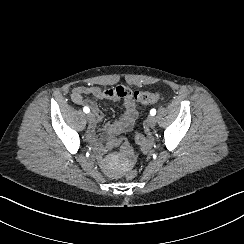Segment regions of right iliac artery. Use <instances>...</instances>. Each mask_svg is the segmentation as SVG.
<instances>
[{
  "label": "right iliac artery",
  "instance_id": "right-iliac-artery-1",
  "mask_svg": "<svg viewBox=\"0 0 244 244\" xmlns=\"http://www.w3.org/2000/svg\"><path fill=\"white\" fill-rule=\"evenodd\" d=\"M83 111H84L85 113H89L90 109H89L88 107H84V108H83Z\"/></svg>",
  "mask_w": 244,
  "mask_h": 244
}]
</instances>
